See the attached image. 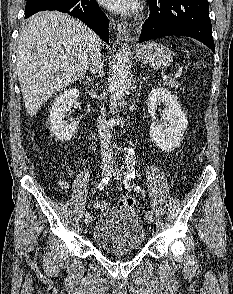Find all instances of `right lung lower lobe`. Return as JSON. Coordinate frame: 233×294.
<instances>
[{
  "label": "right lung lower lobe",
  "mask_w": 233,
  "mask_h": 294,
  "mask_svg": "<svg viewBox=\"0 0 233 294\" xmlns=\"http://www.w3.org/2000/svg\"><path fill=\"white\" fill-rule=\"evenodd\" d=\"M44 10H56L78 18L109 44V21L96 0H54L45 2L25 13V18Z\"/></svg>",
  "instance_id": "right-lung-lower-lobe-1"
}]
</instances>
